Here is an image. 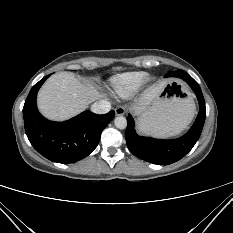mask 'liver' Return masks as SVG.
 <instances>
[{"label":"liver","mask_w":233,"mask_h":233,"mask_svg":"<svg viewBox=\"0 0 233 233\" xmlns=\"http://www.w3.org/2000/svg\"><path fill=\"white\" fill-rule=\"evenodd\" d=\"M166 81L147 89L133 105L136 114L145 110L165 87ZM99 91L90 83L80 81L71 72L52 75L41 87L37 103L40 112L51 120L63 121L84 111L90 102L99 99Z\"/></svg>","instance_id":"1"}]
</instances>
